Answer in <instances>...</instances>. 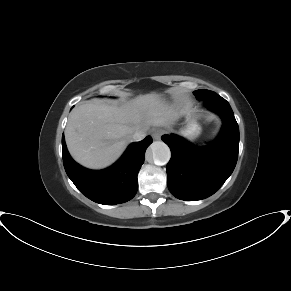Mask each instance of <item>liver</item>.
<instances>
[{
	"label": "liver",
	"mask_w": 291,
	"mask_h": 291,
	"mask_svg": "<svg viewBox=\"0 0 291 291\" xmlns=\"http://www.w3.org/2000/svg\"><path fill=\"white\" fill-rule=\"evenodd\" d=\"M178 116L177 109L161 95H139L122 104L87 102L70 114L65 139L75 161L91 169L114 163L138 130L164 126Z\"/></svg>",
	"instance_id": "liver-1"
}]
</instances>
